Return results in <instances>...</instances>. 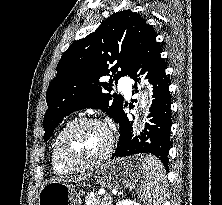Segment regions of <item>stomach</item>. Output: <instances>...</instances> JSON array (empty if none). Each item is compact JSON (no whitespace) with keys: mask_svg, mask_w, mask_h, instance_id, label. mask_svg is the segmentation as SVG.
<instances>
[{"mask_svg":"<svg viewBox=\"0 0 222 205\" xmlns=\"http://www.w3.org/2000/svg\"><path fill=\"white\" fill-rule=\"evenodd\" d=\"M141 157L118 158L100 165L94 172L98 184L108 189H125L141 177ZM38 205H81L73 185L52 181L39 192Z\"/></svg>","mask_w":222,"mask_h":205,"instance_id":"1","label":"stomach"}]
</instances>
